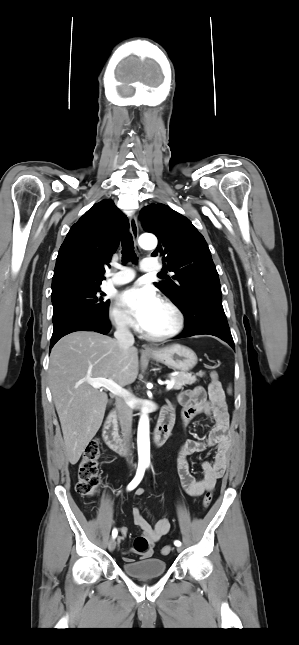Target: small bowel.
<instances>
[{
    "instance_id": "1",
    "label": "small bowel",
    "mask_w": 299,
    "mask_h": 645,
    "mask_svg": "<svg viewBox=\"0 0 299 645\" xmlns=\"http://www.w3.org/2000/svg\"><path fill=\"white\" fill-rule=\"evenodd\" d=\"M178 402L183 407L182 420L187 426L194 417L205 414L213 420V426L205 441L188 439L182 445L177 459V469L183 488L190 496H200L205 492L214 489L218 479L222 478L229 461L231 448V435L229 432V414L224 392L222 389L214 391L209 388L208 395L202 387H196L184 391L178 397ZM172 416L173 411L169 408ZM215 447L216 452L212 461L204 460L201 463L200 475H195L189 465L188 456L202 452L207 448ZM136 496L144 494L143 489H137ZM133 522L142 531V536L148 542V548L143 553H138L134 548L124 554L123 560L132 562L131 554L140 555L141 559L152 557L155 545L166 535L171 527L168 517L160 518L152 527L143 517L138 507L132 510ZM120 540H124L128 534L126 527H121Z\"/></svg>"
}]
</instances>
